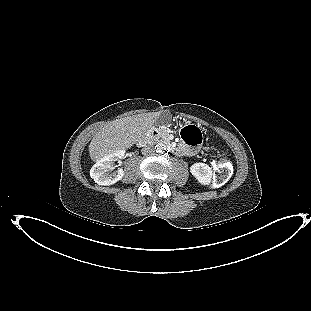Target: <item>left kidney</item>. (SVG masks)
<instances>
[{"label": "left kidney", "instance_id": "1", "mask_svg": "<svg viewBox=\"0 0 311 311\" xmlns=\"http://www.w3.org/2000/svg\"><path fill=\"white\" fill-rule=\"evenodd\" d=\"M190 172L202 185H209L212 178V169L205 163H194L190 167Z\"/></svg>", "mask_w": 311, "mask_h": 311}]
</instances>
